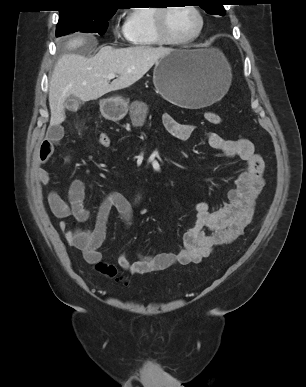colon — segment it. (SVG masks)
<instances>
[{
	"label": "colon",
	"instance_id": "1",
	"mask_svg": "<svg viewBox=\"0 0 306 387\" xmlns=\"http://www.w3.org/2000/svg\"><path fill=\"white\" fill-rule=\"evenodd\" d=\"M205 118L208 122H210L211 124H214V125H218L222 122L221 116L213 111L207 112L205 114ZM97 143L101 147L107 148L111 145V139H110L108 134L100 133L97 136ZM96 269L100 273H102V274H104L112 279H115L116 281H123V279L118 276L116 267L112 264L105 263V262H97Z\"/></svg>",
	"mask_w": 306,
	"mask_h": 387
}]
</instances>
